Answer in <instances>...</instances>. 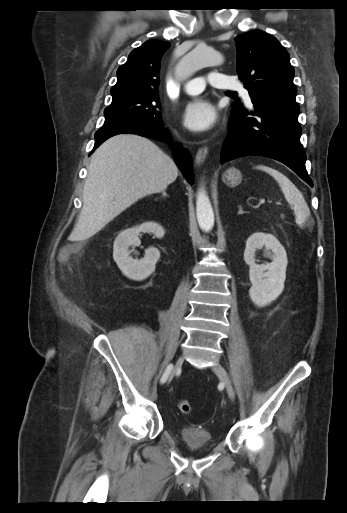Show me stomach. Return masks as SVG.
I'll use <instances>...</instances> for the list:
<instances>
[{
	"label": "stomach",
	"mask_w": 347,
	"mask_h": 513,
	"mask_svg": "<svg viewBox=\"0 0 347 513\" xmlns=\"http://www.w3.org/2000/svg\"><path fill=\"white\" fill-rule=\"evenodd\" d=\"M222 180L228 186H235L242 181V175L239 170H237L234 167H231L224 172V174L222 175Z\"/></svg>",
	"instance_id": "1"
}]
</instances>
